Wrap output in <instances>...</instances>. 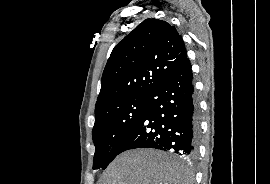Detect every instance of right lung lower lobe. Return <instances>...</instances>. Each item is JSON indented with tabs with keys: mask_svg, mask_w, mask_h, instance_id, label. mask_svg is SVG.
I'll use <instances>...</instances> for the list:
<instances>
[{
	"mask_svg": "<svg viewBox=\"0 0 270 184\" xmlns=\"http://www.w3.org/2000/svg\"><path fill=\"white\" fill-rule=\"evenodd\" d=\"M198 134L197 103L187 59L147 95L145 113L118 154L135 148H156L194 157Z\"/></svg>",
	"mask_w": 270,
	"mask_h": 184,
	"instance_id": "1",
	"label": "right lung lower lobe"
}]
</instances>
